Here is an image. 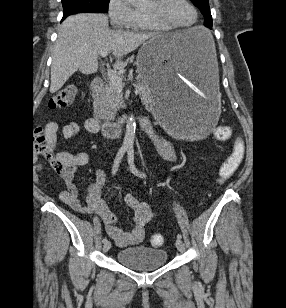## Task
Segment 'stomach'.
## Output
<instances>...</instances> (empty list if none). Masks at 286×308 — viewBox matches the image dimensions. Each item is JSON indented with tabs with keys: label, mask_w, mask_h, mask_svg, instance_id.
<instances>
[{
	"label": "stomach",
	"mask_w": 286,
	"mask_h": 308,
	"mask_svg": "<svg viewBox=\"0 0 286 308\" xmlns=\"http://www.w3.org/2000/svg\"><path fill=\"white\" fill-rule=\"evenodd\" d=\"M183 36H153L137 55V72L149 86L148 107L155 119L169 125L176 138L203 144L201 132L217 125L220 107L217 48L202 27L182 31Z\"/></svg>",
	"instance_id": "obj_1"
}]
</instances>
